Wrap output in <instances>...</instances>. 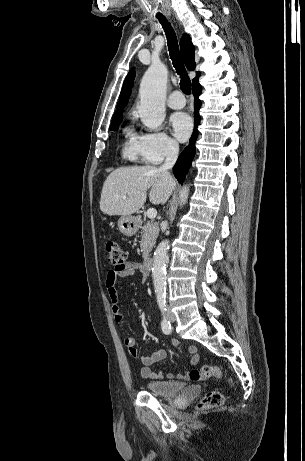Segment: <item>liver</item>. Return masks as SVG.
Here are the masks:
<instances>
[{
  "instance_id": "obj_1",
  "label": "liver",
  "mask_w": 305,
  "mask_h": 461,
  "mask_svg": "<svg viewBox=\"0 0 305 461\" xmlns=\"http://www.w3.org/2000/svg\"><path fill=\"white\" fill-rule=\"evenodd\" d=\"M176 186L171 175L155 166L118 168L106 178L100 199V210L109 216H130L146 202L165 204ZM126 196V199L123 197Z\"/></svg>"
}]
</instances>
